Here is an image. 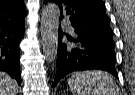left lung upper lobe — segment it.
Returning <instances> with one entry per match:
<instances>
[{"label": "left lung upper lobe", "instance_id": "obj_1", "mask_svg": "<svg viewBox=\"0 0 135 95\" xmlns=\"http://www.w3.org/2000/svg\"><path fill=\"white\" fill-rule=\"evenodd\" d=\"M56 3L61 11V19L68 15L71 25L77 31L113 34L109 18L105 13L103 0H45Z\"/></svg>", "mask_w": 135, "mask_h": 95}]
</instances>
